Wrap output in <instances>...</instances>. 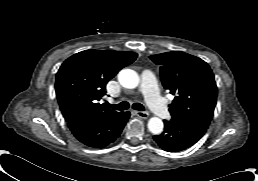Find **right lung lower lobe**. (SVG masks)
<instances>
[{
  "mask_svg": "<svg viewBox=\"0 0 258 181\" xmlns=\"http://www.w3.org/2000/svg\"><path fill=\"white\" fill-rule=\"evenodd\" d=\"M129 112H120L105 119H86L68 125L73 135L89 147L103 148L114 142L121 134Z\"/></svg>",
  "mask_w": 258,
  "mask_h": 181,
  "instance_id": "1",
  "label": "right lung lower lobe"
}]
</instances>
